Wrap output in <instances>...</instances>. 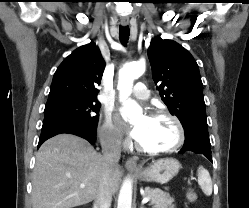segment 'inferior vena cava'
<instances>
[{
    "mask_svg": "<svg viewBox=\"0 0 249 208\" xmlns=\"http://www.w3.org/2000/svg\"><path fill=\"white\" fill-rule=\"evenodd\" d=\"M121 135L110 132L102 137L103 185L94 202V208H110L112 192L109 187L110 176L118 166L121 156Z\"/></svg>",
    "mask_w": 249,
    "mask_h": 208,
    "instance_id": "602c4592",
    "label": "inferior vena cava"
}]
</instances>
